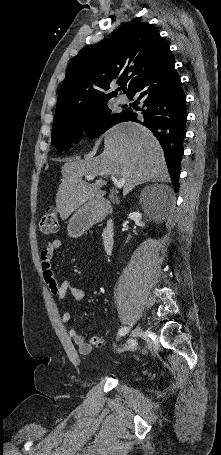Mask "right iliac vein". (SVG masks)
<instances>
[{
  "label": "right iliac vein",
  "mask_w": 221,
  "mask_h": 455,
  "mask_svg": "<svg viewBox=\"0 0 221 455\" xmlns=\"http://www.w3.org/2000/svg\"><path fill=\"white\" fill-rule=\"evenodd\" d=\"M141 335H142V329H141L140 327H136V328L132 331V334H131V336H132V337H135V338H137V337H139V336H141Z\"/></svg>",
  "instance_id": "63e3f726"
}]
</instances>
